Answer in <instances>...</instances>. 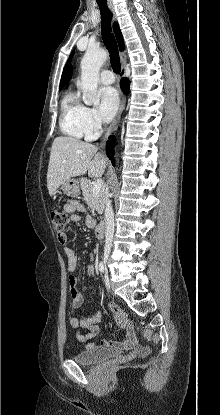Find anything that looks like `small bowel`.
I'll return each mask as SVG.
<instances>
[{"mask_svg": "<svg viewBox=\"0 0 220 415\" xmlns=\"http://www.w3.org/2000/svg\"><path fill=\"white\" fill-rule=\"evenodd\" d=\"M66 210L71 214V220L73 222H78L81 220L79 215L80 212L83 211V207L78 202H71L65 206ZM85 224L88 227L94 226L95 222L91 218H86L84 220ZM57 238L59 242L62 244H67L68 237L66 232H62L61 234H57ZM65 255L67 257V265L68 271L70 273L69 277V287H70V299H71V310L70 313L74 315L79 307L82 304V294L77 287V280L75 277V273L79 267V258L75 253L74 249L66 246L65 247ZM88 275L92 276L95 273V268L93 265H90L87 269ZM119 318V322L122 326L125 327L126 330V338L121 341H110V340H103L101 342V347L111 350V351H120L122 349H129L134 345L135 338L134 334L127 325V323L123 320V318ZM101 320V313L99 311L93 313L91 316L87 318H78V317H71L70 318V325L72 328L77 329L76 338L80 342H87L86 347L91 348L95 347V343L90 342L91 339L95 338L99 334V322ZM81 329H85L86 332H81Z\"/></svg>", "mask_w": 220, "mask_h": 415, "instance_id": "1", "label": "small bowel"}]
</instances>
